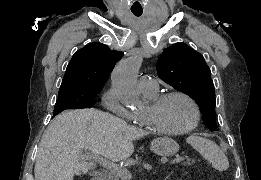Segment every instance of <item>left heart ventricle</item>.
I'll list each match as a JSON object with an SVG mask.
<instances>
[{
    "label": "left heart ventricle",
    "instance_id": "b2bd125f",
    "mask_svg": "<svg viewBox=\"0 0 261 180\" xmlns=\"http://www.w3.org/2000/svg\"><path fill=\"white\" fill-rule=\"evenodd\" d=\"M136 115L151 125L159 135H166L187 129L193 121L194 110L187 100L176 96L168 98L161 106L154 109H150L147 102V105L138 110Z\"/></svg>",
    "mask_w": 261,
    "mask_h": 180
}]
</instances>
